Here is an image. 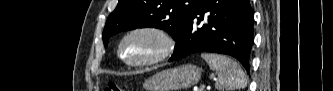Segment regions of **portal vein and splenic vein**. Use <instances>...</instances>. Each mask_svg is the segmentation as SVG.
I'll list each match as a JSON object with an SVG mask.
<instances>
[{
    "mask_svg": "<svg viewBox=\"0 0 333 91\" xmlns=\"http://www.w3.org/2000/svg\"><path fill=\"white\" fill-rule=\"evenodd\" d=\"M193 91H199L197 87H194L193 88Z\"/></svg>",
    "mask_w": 333,
    "mask_h": 91,
    "instance_id": "1",
    "label": "portal vein and splenic vein"
}]
</instances>
